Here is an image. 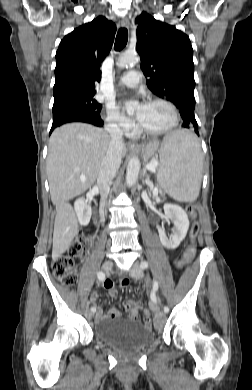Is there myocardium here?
<instances>
[{
    "label": "myocardium",
    "instance_id": "myocardium-1",
    "mask_svg": "<svg viewBox=\"0 0 252 390\" xmlns=\"http://www.w3.org/2000/svg\"><path fill=\"white\" fill-rule=\"evenodd\" d=\"M154 103H163V104L167 105L170 108V110L172 111V114H173V121H172V123L167 128L162 129V130H148V129H145L139 122H137V130L141 134H144V135H147V136H162V135H166V134L172 132L178 126L179 120H180L179 111H178V109H177V107L175 106L174 103H172L171 101H169V100H167L165 98L156 97V98L148 99L145 102V104H147V105L148 104H154Z\"/></svg>",
    "mask_w": 252,
    "mask_h": 390
}]
</instances>
